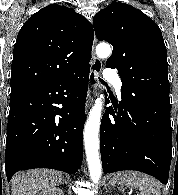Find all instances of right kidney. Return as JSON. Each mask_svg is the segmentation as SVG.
I'll list each match as a JSON object with an SVG mask.
<instances>
[{
  "instance_id": "obj_1",
  "label": "right kidney",
  "mask_w": 178,
  "mask_h": 195,
  "mask_svg": "<svg viewBox=\"0 0 178 195\" xmlns=\"http://www.w3.org/2000/svg\"><path fill=\"white\" fill-rule=\"evenodd\" d=\"M38 195H63V192L59 188L52 187L42 190Z\"/></svg>"
}]
</instances>
